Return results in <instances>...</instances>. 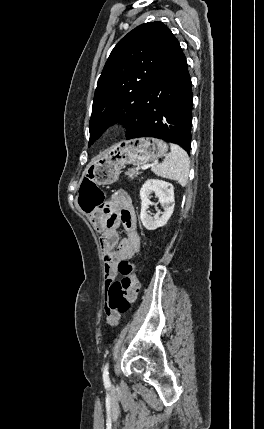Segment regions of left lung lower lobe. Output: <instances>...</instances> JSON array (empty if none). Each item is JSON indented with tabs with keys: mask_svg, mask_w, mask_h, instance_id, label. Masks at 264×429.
Masks as SVG:
<instances>
[{
	"mask_svg": "<svg viewBox=\"0 0 264 429\" xmlns=\"http://www.w3.org/2000/svg\"><path fill=\"white\" fill-rule=\"evenodd\" d=\"M191 87L185 55L172 35L159 69L145 92L140 116L126 138L154 137L176 143L189 153Z\"/></svg>",
	"mask_w": 264,
	"mask_h": 429,
	"instance_id": "left-lung-lower-lobe-1",
	"label": "left lung lower lobe"
}]
</instances>
